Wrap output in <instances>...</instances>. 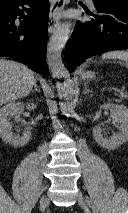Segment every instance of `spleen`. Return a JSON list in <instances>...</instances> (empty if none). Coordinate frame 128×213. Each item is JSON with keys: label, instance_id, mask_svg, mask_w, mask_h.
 Wrapping results in <instances>:
<instances>
[{"label": "spleen", "instance_id": "spleen-1", "mask_svg": "<svg viewBox=\"0 0 128 213\" xmlns=\"http://www.w3.org/2000/svg\"><path fill=\"white\" fill-rule=\"evenodd\" d=\"M102 59H119L124 61L128 67V51H110L104 53Z\"/></svg>", "mask_w": 128, "mask_h": 213}]
</instances>
